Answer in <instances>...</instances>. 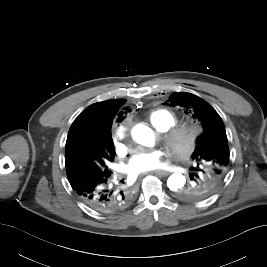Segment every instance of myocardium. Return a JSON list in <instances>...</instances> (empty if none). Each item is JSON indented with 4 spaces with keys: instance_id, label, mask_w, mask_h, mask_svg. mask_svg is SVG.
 <instances>
[{
    "instance_id": "1",
    "label": "myocardium",
    "mask_w": 267,
    "mask_h": 267,
    "mask_svg": "<svg viewBox=\"0 0 267 267\" xmlns=\"http://www.w3.org/2000/svg\"><path fill=\"white\" fill-rule=\"evenodd\" d=\"M196 140V130L186 125L175 126L163 135L165 147L177 157L189 155L195 147Z\"/></svg>"
}]
</instances>
